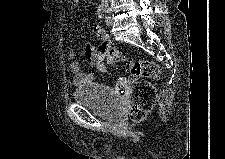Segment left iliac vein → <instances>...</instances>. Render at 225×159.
Listing matches in <instances>:
<instances>
[{
    "label": "left iliac vein",
    "mask_w": 225,
    "mask_h": 159,
    "mask_svg": "<svg viewBox=\"0 0 225 159\" xmlns=\"http://www.w3.org/2000/svg\"><path fill=\"white\" fill-rule=\"evenodd\" d=\"M105 22H106V25H107V26H111V25L113 24V19H112V17H111V16H107Z\"/></svg>",
    "instance_id": "left-iliac-vein-1"
}]
</instances>
